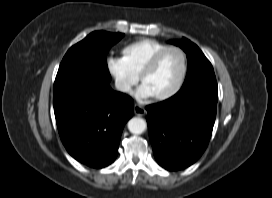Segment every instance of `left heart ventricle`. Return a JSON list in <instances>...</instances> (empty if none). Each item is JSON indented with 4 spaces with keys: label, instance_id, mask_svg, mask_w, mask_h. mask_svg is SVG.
Masks as SVG:
<instances>
[{
    "label": "left heart ventricle",
    "instance_id": "b2bd125f",
    "mask_svg": "<svg viewBox=\"0 0 272 198\" xmlns=\"http://www.w3.org/2000/svg\"><path fill=\"white\" fill-rule=\"evenodd\" d=\"M182 72V57L177 51L167 52L157 67L147 75L142 85L152 97L163 95L174 88Z\"/></svg>",
    "mask_w": 272,
    "mask_h": 198
}]
</instances>
